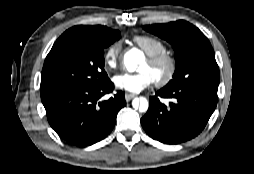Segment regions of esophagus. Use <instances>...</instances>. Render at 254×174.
Listing matches in <instances>:
<instances>
[{
    "instance_id": "34e87169",
    "label": "esophagus",
    "mask_w": 254,
    "mask_h": 174,
    "mask_svg": "<svg viewBox=\"0 0 254 174\" xmlns=\"http://www.w3.org/2000/svg\"><path fill=\"white\" fill-rule=\"evenodd\" d=\"M136 95L135 94H131V93H126L125 94V99L126 101H130L131 99L135 98Z\"/></svg>"
}]
</instances>
